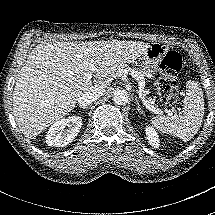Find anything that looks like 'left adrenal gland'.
Instances as JSON below:
<instances>
[{
	"instance_id": "obj_1",
	"label": "left adrenal gland",
	"mask_w": 215,
	"mask_h": 215,
	"mask_svg": "<svg viewBox=\"0 0 215 215\" xmlns=\"http://www.w3.org/2000/svg\"><path fill=\"white\" fill-rule=\"evenodd\" d=\"M135 103H136L137 111H138L139 113H141V111H140V106H139V101H138V98H137V97H135Z\"/></svg>"
}]
</instances>
